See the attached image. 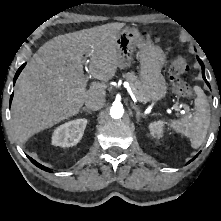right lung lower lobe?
<instances>
[{
    "label": "right lung lower lobe",
    "mask_w": 221,
    "mask_h": 221,
    "mask_svg": "<svg viewBox=\"0 0 221 221\" xmlns=\"http://www.w3.org/2000/svg\"><path fill=\"white\" fill-rule=\"evenodd\" d=\"M25 64H23L19 69L18 71L16 72V75L14 77V83L18 77V75L20 74V72L22 71V69L24 68ZM12 97H13V94L11 95V98H10V104H11V100H12ZM28 158L30 159V161L35 164L37 167H39L40 169L42 170H45L47 172H51V170L45 166H42L41 164H39L38 162H36L34 159H32L31 157L28 156Z\"/></svg>",
    "instance_id": "obj_1"
}]
</instances>
